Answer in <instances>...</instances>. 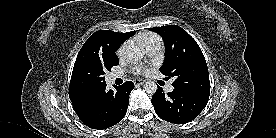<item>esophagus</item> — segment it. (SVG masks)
Wrapping results in <instances>:
<instances>
[{
    "label": "esophagus",
    "mask_w": 276,
    "mask_h": 138,
    "mask_svg": "<svg viewBox=\"0 0 276 138\" xmlns=\"http://www.w3.org/2000/svg\"><path fill=\"white\" fill-rule=\"evenodd\" d=\"M145 83V80L142 79H135L134 84L135 85H143Z\"/></svg>",
    "instance_id": "1"
}]
</instances>
